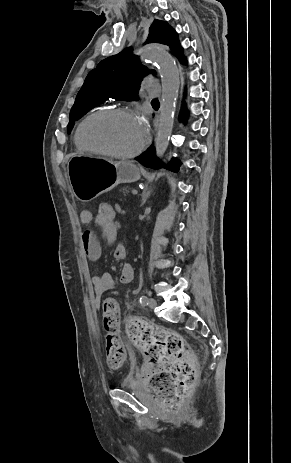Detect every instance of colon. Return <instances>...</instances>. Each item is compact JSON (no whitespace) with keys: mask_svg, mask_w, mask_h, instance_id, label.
Wrapping results in <instances>:
<instances>
[{"mask_svg":"<svg viewBox=\"0 0 291 463\" xmlns=\"http://www.w3.org/2000/svg\"><path fill=\"white\" fill-rule=\"evenodd\" d=\"M100 226H114L118 210L106 201L97 202ZM103 325L107 331L106 360L112 369L120 368L126 359L119 334L121 311L111 299L102 306ZM128 333L146 356L143 375L148 379L151 394L172 410L193 387L195 367L191 351L180 334L158 325L134 319Z\"/></svg>","mask_w":291,"mask_h":463,"instance_id":"colon-1","label":"colon"}]
</instances>
